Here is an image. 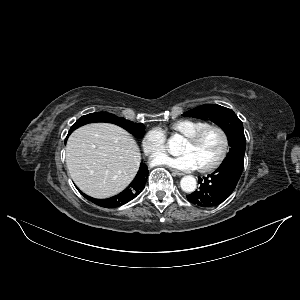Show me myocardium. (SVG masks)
<instances>
[{
	"label": "myocardium",
	"instance_id": "f54148a6",
	"mask_svg": "<svg viewBox=\"0 0 300 300\" xmlns=\"http://www.w3.org/2000/svg\"><path fill=\"white\" fill-rule=\"evenodd\" d=\"M210 129H217L221 133L223 139V146H222L221 153L213 162L198 167L199 171L201 172H210L218 168L224 162V160L226 159L229 153L230 140H229L228 132L221 124L218 123H208L207 125L199 129L194 134L186 137L185 140L191 144H196L201 140L204 134Z\"/></svg>",
	"mask_w": 300,
	"mask_h": 300
}]
</instances>
